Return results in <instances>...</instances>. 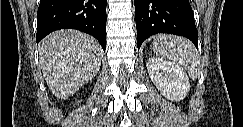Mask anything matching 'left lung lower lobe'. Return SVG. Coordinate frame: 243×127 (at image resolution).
I'll return each mask as SVG.
<instances>
[{"mask_svg":"<svg viewBox=\"0 0 243 127\" xmlns=\"http://www.w3.org/2000/svg\"><path fill=\"white\" fill-rule=\"evenodd\" d=\"M137 47L156 33L190 39L198 48V31L189 0H134Z\"/></svg>","mask_w":243,"mask_h":127,"instance_id":"0a47b994","label":"left lung lower lobe"}]
</instances>
